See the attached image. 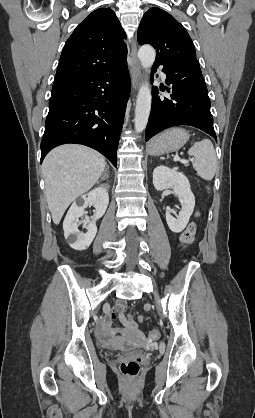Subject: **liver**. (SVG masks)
<instances>
[{
	"label": "liver",
	"instance_id": "6515ba94",
	"mask_svg": "<svg viewBox=\"0 0 255 418\" xmlns=\"http://www.w3.org/2000/svg\"><path fill=\"white\" fill-rule=\"evenodd\" d=\"M105 166L103 155L83 145H62L48 153L42 168L54 224H59L68 206L78 196L94 186Z\"/></svg>",
	"mask_w": 255,
	"mask_h": 418
}]
</instances>
